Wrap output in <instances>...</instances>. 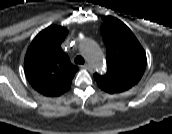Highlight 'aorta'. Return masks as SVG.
<instances>
[{
    "mask_svg": "<svg viewBox=\"0 0 172 134\" xmlns=\"http://www.w3.org/2000/svg\"><path fill=\"white\" fill-rule=\"evenodd\" d=\"M83 52L93 69L99 72L105 71L103 53L97 43L92 40H85L83 42Z\"/></svg>",
    "mask_w": 172,
    "mask_h": 134,
    "instance_id": "1",
    "label": "aorta"
}]
</instances>
